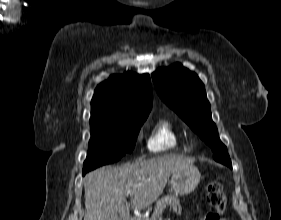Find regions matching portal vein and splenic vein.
Listing matches in <instances>:
<instances>
[{
  "label": "portal vein and splenic vein",
  "instance_id": "obj_1",
  "mask_svg": "<svg viewBox=\"0 0 281 220\" xmlns=\"http://www.w3.org/2000/svg\"><path fill=\"white\" fill-rule=\"evenodd\" d=\"M132 193H133V192L130 191V190H128V191L126 192L127 195H131Z\"/></svg>",
  "mask_w": 281,
  "mask_h": 220
}]
</instances>
